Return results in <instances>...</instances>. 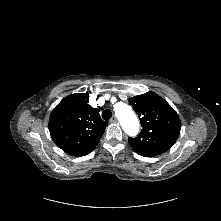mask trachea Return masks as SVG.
Returning a JSON list of instances; mask_svg holds the SVG:
<instances>
[{
  "mask_svg": "<svg viewBox=\"0 0 221 221\" xmlns=\"http://www.w3.org/2000/svg\"><path fill=\"white\" fill-rule=\"evenodd\" d=\"M112 117V112L111 110L109 109H106L102 112V118L105 120V121H108L110 120V118Z\"/></svg>",
  "mask_w": 221,
  "mask_h": 221,
  "instance_id": "1",
  "label": "trachea"
}]
</instances>
